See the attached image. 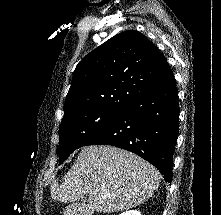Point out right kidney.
Returning <instances> with one entry per match:
<instances>
[{
  "mask_svg": "<svg viewBox=\"0 0 221 215\" xmlns=\"http://www.w3.org/2000/svg\"><path fill=\"white\" fill-rule=\"evenodd\" d=\"M119 215H141V213L138 210H129V211L123 212Z\"/></svg>",
  "mask_w": 221,
  "mask_h": 215,
  "instance_id": "1",
  "label": "right kidney"
}]
</instances>
